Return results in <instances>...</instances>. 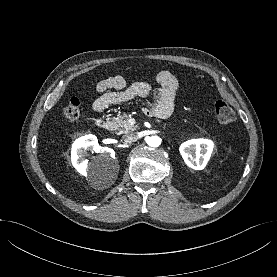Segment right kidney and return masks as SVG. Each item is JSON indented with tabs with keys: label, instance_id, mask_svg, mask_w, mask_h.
<instances>
[{
	"label": "right kidney",
	"instance_id": "ca27d5eb",
	"mask_svg": "<svg viewBox=\"0 0 277 277\" xmlns=\"http://www.w3.org/2000/svg\"><path fill=\"white\" fill-rule=\"evenodd\" d=\"M87 150H94L100 153L97 157L98 161L102 164L111 163L113 169L117 164L115 160V152L113 149L108 147H101L98 141L93 135H86L77 139L72 146L71 150V162L75 169L82 175L87 176L89 172H97L100 167L95 163H89L88 160L84 159L85 152Z\"/></svg>",
	"mask_w": 277,
	"mask_h": 277
}]
</instances>
